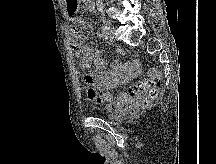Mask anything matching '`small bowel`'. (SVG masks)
<instances>
[{"label": "small bowel", "mask_w": 216, "mask_h": 164, "mask_svg": "<svg viewBox=\"0 0 216 164\" xmlns=\"http://www.w3.org/2000/svg\"><path fill=\"white\" fill-rule=\"evenodd\" d=\"M72 23L69 37L77 52L79 67L83 70H89L92 65L95 67L84 77V83L87 85V96L91 101L103 103L104 99L98 96L96 88L100 91H107L131 81L139 73L138 63L136 61L126 63L114 61L108 67L100 51L94 52L91 46L84 44V34L78 29V26L85 28L86 20L82 17L74 18ZM117 107L116 104H109L107 109L112 111Z\"/></svg>", "instance_id": "1"}]
</instances>
